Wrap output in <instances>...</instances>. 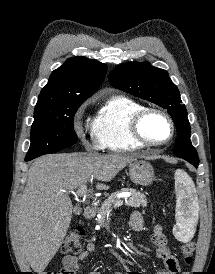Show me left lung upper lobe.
<instances>
[{
  "label": "left lung upper lobe",
  "instance_id": "obj_1",
  "mask_svg": "<svg viewBox=\"0 0 215 274\" xmlns=\"http://www.w3.org/2000/svg\"><path fill=\"white\" fill-rule=\"evenodd\" d=\"M109 82L120 90L167 109L178 134L174 155L187 161L199 162L190 140L187 110L182 104L177 86L165 70L153 67L149 62L125 63L110 73Z\"/></svg>",
  "mask_w": 215,
  "mask_h": 274
}]
</instances>
